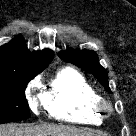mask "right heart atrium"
Masks as SVG:
<instances>
[{"mask_svg": "<svg viewBox=\"0 0 136 136\" xmlns=\"http://www.w3.org/2000/svg\"><path fill=\"white\" fill-rule=\"evenodd\" d=\"M38 88V82L34 81L32 82L26 92L27 99L29 101V105L33 111H37L38 109V104L40 102L44 103V98L40 94H36L35 90Z\"/></svg>", "mask_w": 136, "mask_h": 136, "instance_id": "right-heart-atrium-1", "label": "right heart atrium"}]
</instances>
